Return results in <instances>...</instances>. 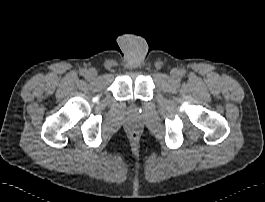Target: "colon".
I'll use <instances>...</instances> for the list:
<instances>
[{"instance_id":"obj_1","label":"colon","mask_w":265,"mask_h":202,"mask_svg":"<svg viewBox=\"0 0 265 202\" xmlns=\"http://www.w3.org/2000/svg\"><path fill=\"white\" fill-rule=\"evenodd\" d=\"M131 138L136 141V140H138L139 136L137 133H132Z\"/></svg>"}]
</instances>
